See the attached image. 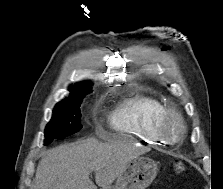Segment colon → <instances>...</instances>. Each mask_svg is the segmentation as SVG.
Instances as JSON below:
<instances>
[{
    "mask_svg": "<svg viewBox=\"0 0 223 189\" xmlns=\"http://www.w3.org/2000/svg\"><path fill=\"white\" fill-rule=\"evenodd\" d=\"M173 171L176 174H183L186 172V165L182 161H175L173 163Z\"/></svg>",
    "mask_w": 223,
    "mask_h": 189,
    "instance_id": "colon-1",
    "label": "colon"
}]
</instances>
